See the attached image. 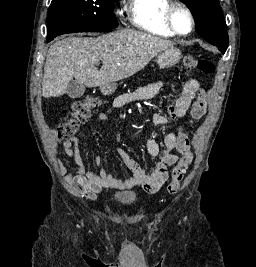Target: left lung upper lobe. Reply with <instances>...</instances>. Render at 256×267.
Returning a JSON list of instances; mask_svg holds the SVG:
<instances>
[{"mask_svg":"<svg viewBox=\"0 0 256 267\" xmlns=\"http://www.w3.org/2000/svg\"><path fill=\"white\" fill-rule=\"evenodd\" d=\"M192 11L196 31L223 54L228 47V34L218 0H181Z\"/></svg>","mask_w":256,"mask_h":267,"instance_id":"1","label":"left lung upper lobe"}]
</instances>
